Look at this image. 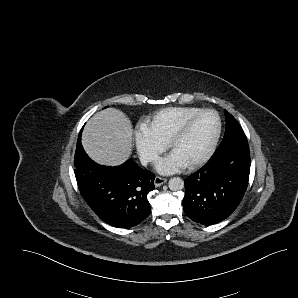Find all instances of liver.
Returning <instances> with one entry per match:
<instances>
[{
    "label": "liver",
    "mask_w": 298,
    "mask_h": 298,
    "mask_svg": "<svg viewBox=\"0 0 298 298\" xmlns=\"http://www.w3.org/2000/svg\"><path fill=\"white\" fill-rule=\"evenodd\" d=\"M133 130L129 118L119 109L104 108L86 122L81 143L97 164L117 167L132 155Z\"/></svg>",
    "instance_id": "6515ba94"
}]
</instances>
